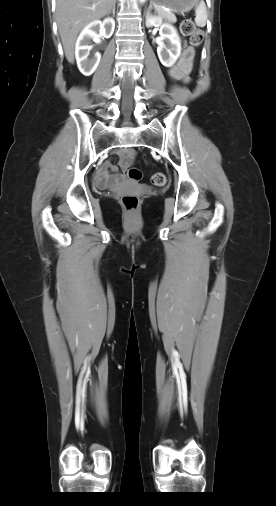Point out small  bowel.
<instances>
[{
	"label": "small bowel",
	"mask_w": 276,
	"mask_h": 506,
	"mask_svg": "<svg viewBox=\"0 0 276 506\" xmlns=\"http://www.w3.org/2000/svg\"><path fill=\"white\" fill-rule=\"evenodd\" d=\"M193 49L185 47L179 62L169 69V75L178 81H189V73L192 68ZM136 151L132 148L122 149L119 152V167L124 172L132 163ZM105 168L112 171L114 175L110 176L106 171L98 172L95 178V185L98 189H106L118 185L123 179L122 173H117V167L112 163H106Z\"/></svg>",
	"instance_id": "small-bowel-1"
}]
</instances>
